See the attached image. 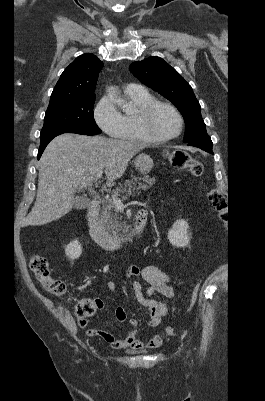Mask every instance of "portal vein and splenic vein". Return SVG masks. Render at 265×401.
Returning a JSON list of instances; mask_svg holds the SVG:
<instances>
[{
    "label": "portal vein and splenic vein",
    "instance_id": "18ae733b",
    "mask_svg": "<svg viewBox=\"0 0 265 401\" xmlns=\"http://www.w3.org/2000/svg\"><path fill=\"white\" fill-rule=\"evenodd\" d=\"M103 170H98L97 174H95V180L97 178H101ZM113 203L115 207H120V209H124L123 203H121L120 198L118 196H113Z\"/></svg>",
    "mask_w": 265,
    "mask_h": 401
}]
</instances>
